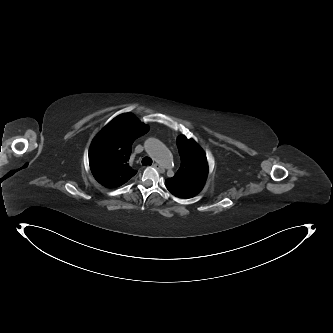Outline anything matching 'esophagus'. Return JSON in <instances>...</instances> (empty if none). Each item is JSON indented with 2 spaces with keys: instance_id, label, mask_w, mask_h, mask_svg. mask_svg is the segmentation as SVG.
<instances>
[{
  "instance_id": "esophagus-1",
  "label": "esophagus",
  "mask_w": 333,
  "mask_h": 333,
  "mask_svg": "<svg viewBox=\"0 0 333 333\" xmlns=\"http://www.w3.org/2000/svg\"><path fill=\"white\" fill-rule=\"evenodd\" d=\"M153 167H155V168L158 169L159 171L163 172V169H162V167L159 165V163L154 162V163H153Z\"/></svg>"
}]
</instances>
